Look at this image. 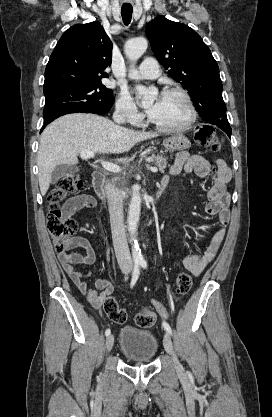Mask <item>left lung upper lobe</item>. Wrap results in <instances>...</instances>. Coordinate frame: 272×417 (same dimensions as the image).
<instances>
[{
    "mask_svg": "<svg viewBox=\"0 0 272 417\" xmlns=\"http://www.w3.org/2000/svg\"><path fill=\"white\" fill-rule=\"evenodd\" d=\"M146 35L168 74L189 91L199 115L207 123L231 129L222 98L219 68L202 38L185 24L156 17Z\"/></svg>",
    "mask_w": 272,
    "mask_h": 417,
    "instance_id": "1",
    "label": "left lung upper lobe"
}]
</instances>
